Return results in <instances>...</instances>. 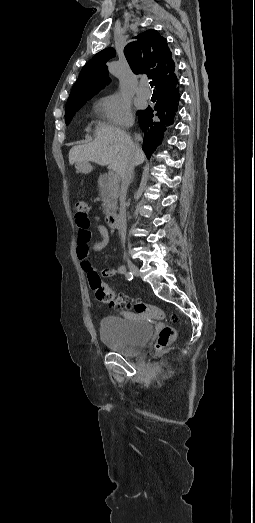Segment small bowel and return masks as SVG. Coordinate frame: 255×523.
<instances>
[{"mask_svg":"<svg viewBox=\"0 0 255 523\" xmlns=\"http://www.w3.org/2000/svg\"><path fill=\"white\" fill-rule=\"evenodd\" d=\"M98 220V219H97ZM97 232L99 233L101 240L94 243L92 246L89 245L91 240V232L89 224L87 226H78V239H77V258L80 260L84 271L91 273L95 272L91 263L88 260L90 250L101 251L105 249L109 243V233L104 225L97 224ZM125 267L123 265H113L102 271V275L106 277H112L117 274H124Z\"/></svg>","mask_w":255,"mask_h":523,"instance_id":"obj_1","label":"small bowel"}]
</instances>
